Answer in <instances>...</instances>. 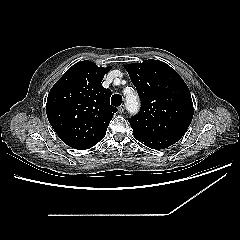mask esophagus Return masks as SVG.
<instances>
[{"label": "esophagus", "instance_id": "obj_1", "mask_svg": "<svg viewBox=\"0 0 240 240\" xmlns=\"http://www.w3.org/2000/svg\"><path fill=\"white\" fill-rule=\"evenodd\" d=\"M124 111H125V106H124V105H121V106L118 108V112H119L120 114H122V113H124Z\"/></svg>", "mask_w": 240, "mask_h": 240}]
</instances>
